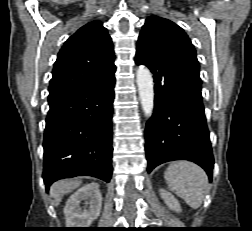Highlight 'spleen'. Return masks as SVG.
<instances>
[{
  "label": "spleen",
  "mask_w": 252,
  "mask_h": 231,
  "mask_svg": "<svg viewBox=\"0 0 252 231\" xmlns=\"http://www.w3.org/2000/svg\"><path fill=\"white\" fill-rule=\"evenodd\" d=\"M168 187L191 208L201 206L207 188L208 177L198 165L180 160L172 162L164 174Z\"/></svg>",
  "instance_id": "spleen-1"
}]
</instances>
